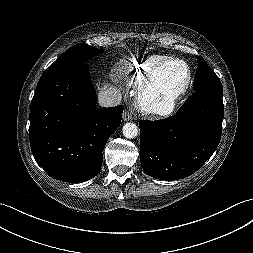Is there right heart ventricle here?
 Instances as JSON below:
<instances>
[{
  "label": "right heart ventricle",
  "mask_w": 253,
  "mask_h": 253,
  "mask_svg": "<svg viewBox=\"0 0 253 253\" xmlns=\"http://www.w3.org/2000/svg\"><path fill=\"white\" fill-rule=\"evenodd\" d=\"M168 59L163 55H149L129 64L121 73L120 78L134 90L139 89L147 75L161 62Z\"/></svg>",
  "instance_id": "e07e8e85"
}]
</instances>
